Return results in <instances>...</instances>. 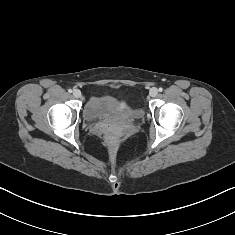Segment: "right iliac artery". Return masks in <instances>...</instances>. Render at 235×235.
<instances>
[{
  "mask_svg": "<svg viewBox=\"0 0 235 235\" xmlns=\"http://www.w3.org/2000/svg\"><path fill=\"white\" fill-rule=\"evenodd\" d=\"M68 92H69V93H72V89H68Z\"/></svg>",
  "mask_w": 235,
  "mask_h": 235,
  "instance_id": "obj_1",
  "label": "right iliac artery"
}]
</instances>
